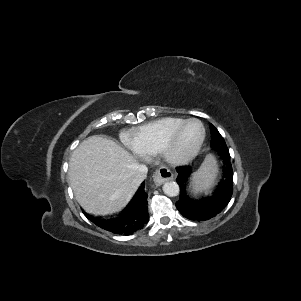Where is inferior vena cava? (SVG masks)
I'll use <instances>...</instances> for the list:
<instances>
[{
	"label": "inferior vena cava",
	"mask_w": 301,
	"mask_h": 301,
	"mask_svg": "<svg viewBox=\"0 0 301 301\" xmlns=\"http://www.w3.org/2000/svg\"><path fill=\"white\" fill-rule=\"evenodd\" d=\"M148 168L146 165H139L136 174L133 178V183L136 185L141 184L147 177Z\"/></svg>",
	"instance_id": "1"
}]
</instances>
